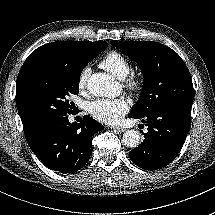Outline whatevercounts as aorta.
Returning a JSON list of instances; mask_svg holds the SVG:
<instances>
[{"mask_svg": "<svg viewBox=\"0 0 215 215\" xmlns=\"http://www.w3.org/2000/svg\"><path fill=\"white\" fill-rule=\"evenodd\" d=\"M113 86L111 77L105 73H94L87 80L88 92L96 97H105ZM123 144L129 148H137L141 143V135L136 130H127L122 137Z\"/></svg>", "mask_w": 215, "mask_h": 215, "instance_id": "1", "label": "aorta"}]
</instances>
